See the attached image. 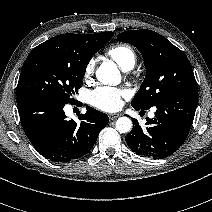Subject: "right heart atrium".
Segmentation results:
<instances>
[{"mask_svg": "<svg viewBox=\"0 0 212 212\" xmlns=\"http://www.w3.org/2000/svg\"><path fill=\"white\" fill-rule=\"evenodd\" d=\"M95 71V61L92 59L90 60L84 69V78L85 80H90Z\"/></svg>", "mask_w": 212, "mask_h": 212, "instance_id": "obj_1", "label": "right heart atrium"}]
</instances>
